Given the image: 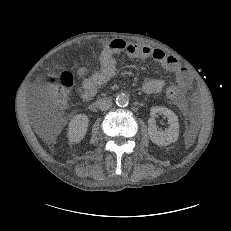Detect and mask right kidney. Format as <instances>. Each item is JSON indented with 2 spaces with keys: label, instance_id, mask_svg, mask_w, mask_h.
Instances as JSON below:
<instances>
[{
  "label": "right kidney",
  "instance_id": "1",
  "mask_svg": "<svg viewBox=\"0 0 231 231\" xmlns=\"http://www.w3.org/2000/svg\"><path fill=\"white\" fill-rule=\"evenodd\" d=\"M89 119L85 114L75 115L69 123L68 138L72 143L80 142L86 135Z\"/></svg>",
  "mask_w": 231,
  "mask_h": 231
}]
</instances>
